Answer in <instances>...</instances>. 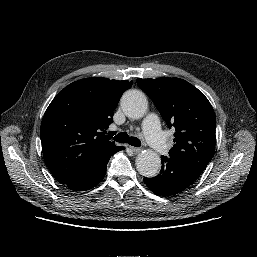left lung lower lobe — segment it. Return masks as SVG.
<instances>
[{"mask_svg": "<svg viewBox=\"0 0 257 257\" xmlns=\"http://www.w3.org/2000/svg\"><path fill=\"white\" fill-rule=\"evenodd\" d=\"M162 168L153 178L144 182L156 195L171 196L192 185L202 173L188 163L172 157L161 156Z\"/></svg>", "mask_w": 257, "mask_h": 257, "instance_id": "0a47b994", "label": "left lung lower lobe"}]
</instances>
